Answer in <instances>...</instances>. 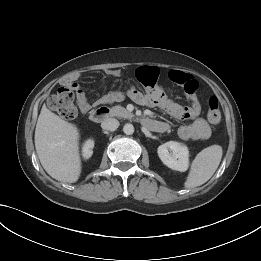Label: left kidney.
<instances>
[{
    "instance_id": "5707ae66",
    "label": "left kidney",
    "mask_w": 261,
    "mask_h": 261,
    "mask_svg": "<svg viewBox=\"0 0 261 261\" xmlns=\"http://www.w3.org/2000/svg\"><path fill=\"white\" fill-rule=\"evenodd\" d=\"M161 161L172 170L185 172L189 166V151L187 146L169 141L158 147Z\"/></svg>"
}]
</instances>
